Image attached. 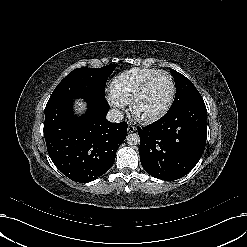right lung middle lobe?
I'll return each instance as SVG.
<instances>
[{"mask_svg": "<svg viewBox=\"0 0 247 247\" xmlns=\"http://www.w3.org/2000/svg\"><path fill=\"white\" fill-rule=\"evenodd\" d=\"M118 64L102 68H78L69 73L55 88L48 103L65 99H105V85Z\"/></svg>", "mask_w": 247, "mask_h": 247, "instance_id": "right-lung-middle-lobe-1", "label": "right lung middle lobe"}]
</instances>
